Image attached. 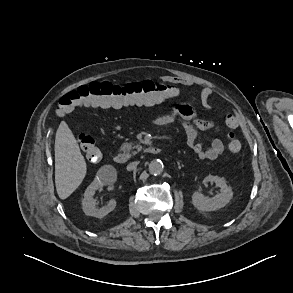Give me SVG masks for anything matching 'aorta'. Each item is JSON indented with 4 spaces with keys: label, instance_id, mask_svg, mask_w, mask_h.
I'll return each mask as SVG.
<instances>
[{
    "label": "aorta",
    "instance_id": "aorta-1",
    "mask_svg": "<svg viewBox=\"0 0 293 293\" xmlns=\"http://www.w3.org/2000/svg\"><path fill=\"white\" fill-rule=\"evenodd\" d=\"M164 170V164L160 159H154L149 164V172L152 175H159Z\"/></svg>",
    "mask_w": 293,
    "mask_h": 293
}]
</instances>
